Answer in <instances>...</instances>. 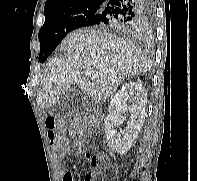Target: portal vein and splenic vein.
Here are the masks:
<instances>
[{"mask_svg": "<svg viewBox=\"0 0 197 181\" xmlns=\"http://www.w3.org/2000/svg\"><path fill=\"white\" fill-rule=\"evenodd\" d=\"M83 74H84V75H87V76H90V77H92V78L99 77V74L96 73V72L84 71Z\"/></svg>", "mask_w": 197, "mask_h": 181, "instance_id": "portal-vein-and-splenic-vein-1", "label": "portal vein and splenic vein"}]
</instances>
